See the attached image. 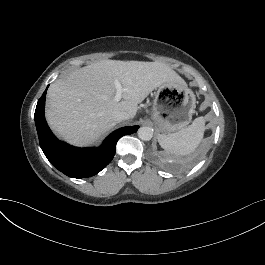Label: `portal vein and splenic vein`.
<instances>
[{
    "label": "portal vein and splenic vein",
    "instance_id": "portal-vein-and-splenic-vein-1",
    "mask_svg": "<svg viewBox=\"0 0 265 265\" xmlns=\"http://www.w3.org/2000/svg\"><path fill=\"white\" fill-rule=\"evenodd\" d=\"M116 87V95H115V101H120L122 99V96L124 93L127 94H133L135 93V90H130L127 88H123L122 85L118 82L115 85Z\"/></svg>",
    "mask_w": 265,
    "mask_h": 265
}]
</instances>
